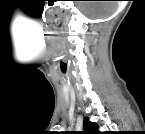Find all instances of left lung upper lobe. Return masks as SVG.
Instances as JSON below:
<instances>
[{"instance_id":"1","label":"left lung upper lobe","mask_w":145,"mask_h":134,"mask_svg":"<svg viewBox=\"0 0 145 134\" xmlns=\"http://www.w3.org/2000/svg\"><path fill=\"white\" fill-rule=\"evenodd\" d=\"M84 134H99L96 123L90 122L88 118L84 119Z\"/></svg>"}]
</instances>
